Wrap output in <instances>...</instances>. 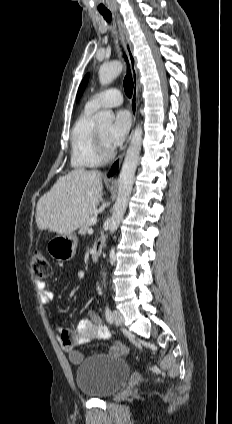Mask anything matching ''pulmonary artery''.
<instances>
[{
    "mask_svg": "<svg viewBox=\"0 0 232 424\" xmlns=\"http://www.w3.org/2000/svg\"><path fill=\"white\" fill-rule=\"evenodd\" d=\"M123 102V96L117 89H107L94 95L86 104L90 110L117 107Z\"/></svg>",
    "mask_w": 232,
    "mask_h": 424,
    "instance_id": "obj_1",
    "label": "pulmonary artery"
}]
</instances>
